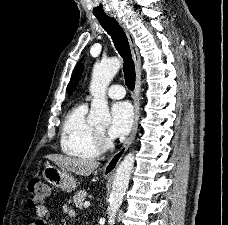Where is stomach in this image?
<instances>
[{"label": "stomach", "instance_id": "obj_1", "mask_svg": "<svg viewBox=\"0 0 228 225\" xmlns=\"http://www.w3.org/2000/svg\"><path fill=\"white\" fill-rule=\"evenodd\" d=\"M42 175L45 181H48L50 185L62 189L65 193H72V191H75L78 187L77 181L73 175H71L70 171L57 169V167H53V165H49V163L45 165ZM104 179H108V177H104Z\"/></svg>", "mask_w": 228, "mask_h": 225}]
</instances>
